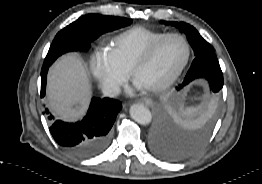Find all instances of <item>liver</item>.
<instances>
[{
	"label": "liver",
	"instance_id": "1",
	"mask_svg": "<svg viewBox=\"0 0 262 184\" xmlns=\"http://www.w3.org/2000/svg\"><path fill=\"white\" fill-rule=\"evenodd\" d=\"M90 91L89 75L76 55L63 56L51 68L47 98L53 113L60 119L81 118L88 108Z\"/></svg>",
	"mask_w": 262,
	"mask_h": 184
}]
</instances>
